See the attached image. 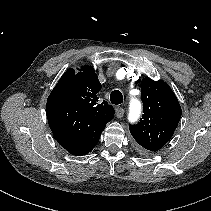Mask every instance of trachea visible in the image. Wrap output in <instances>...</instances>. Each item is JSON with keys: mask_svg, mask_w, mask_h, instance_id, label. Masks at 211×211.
<instances>
[{"mask_svg": "<svg viewBox=\"0 0 211 211\" xmlns=\"http://www.w3.org/2000/svg\"><path fill=\"white\" fill-rule=\"evenodd\" d=\"M110 101L112 104L118 105L123 102L122 93L119 90H114L110 94Z\"/></svg>", "mask_w": 211, "mask_h": 211, "instance_id": "trachea-1", "label": "trachea"}]
</instances>
